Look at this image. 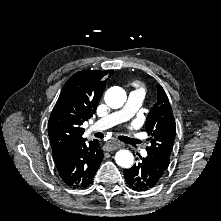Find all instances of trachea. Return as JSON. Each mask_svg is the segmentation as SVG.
<instances>
[{
	"instance_id": "trachea-1",
	"label": "trachea",
	"mask_w": 221,
	"mask_h": 221,
	"mask_svg": "<svg viewBox=\"0 0 221 221\" xmlns=\"http://www.w3.org/2000/svg\"><path fill=\"white\" fill-rule=\"evenodd\" d=\"M95 136L98 138H103V135L101 133H96Z\"/></svg>"
}]
</instances>
